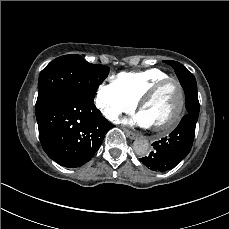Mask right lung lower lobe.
Returning a JSON list of instances; mask_svg holds the SVG:
<instances>
[{"label": "right lung lower lobe", "instance_id": "1", "mask_svg": "<svg viewBox=\"0 0 229 229\" xmlns=\"http://www.w3.org/2000/svg\"><path fill=\"white\" fill-rule=\"evenodd\" d=\"M39 138L46 154L61 166L84 165L113 127L93 100L75 91L51 96L38 110Z\"/></svg>", "mask_w": 229, "mask_h": 229}]
</instances>
